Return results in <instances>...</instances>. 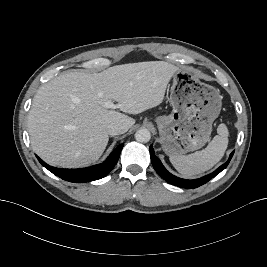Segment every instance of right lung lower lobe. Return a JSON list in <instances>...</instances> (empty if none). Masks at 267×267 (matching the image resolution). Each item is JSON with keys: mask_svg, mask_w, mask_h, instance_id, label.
<instances>
[{"mask_svg": "<svg viewBox=\"0 0 267 267\" xmlns=\"http://www.w3.org/2000/svg\"><path fill=\"white\" fill-rule=\"evenodd\" d=\"M122 148L123 144L119 145L103 163L92 167L80 168V169H60L52 167L46 164L38 156L36 157L45 168H47L50 172L60 177L61 179L74 183H83V182L97 180L108 175L109 172L116 165Z\"/></svg>", "mask_w": 267, "mask_h": 267, "instance_id": "98d812e1", "label": "right lung lower lobe"}]
</instances>
